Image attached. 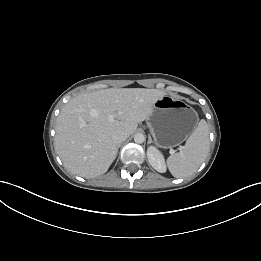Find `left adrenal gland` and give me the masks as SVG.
Wrapping results in <instances>:
<instances>
[{
  "instance_id": "a2214340",
  "label": "left adrenal gland",
  "mask_w": 261,
  "mask_h": 261,
  "mask_svg": "<svg viewBox=\"0 0 261 261\" xmlns=\"http://www.w3.org/2000/svg\"><path fill=\"white\" fill-rule=\"evenodd\" d=\"M150 143H152V139H151V137L149 136V138H148V144H150Z\"/></svg>"
}]
</instances>
